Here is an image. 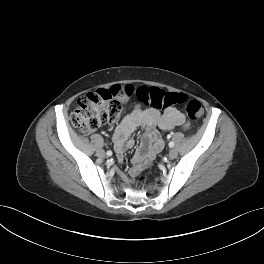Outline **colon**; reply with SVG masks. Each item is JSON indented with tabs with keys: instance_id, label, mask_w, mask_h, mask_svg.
<instances>
[{
	"instance_id": "obj_1",
	"label": "colon",
	"mask_w": 264,
	"mask_h": 264,
	"mask_svg": "<svg viewBox=\"0 0 264 264\" xmlns=\"http://www.w3.org/2000/svg\"><path fill=\"white\" fill-rule=\"evenodd\" d=\"M134 94L143 105L158 110L183 104L187 99L183 93L167 92L157 87L118 85L82 96L71 115V123L80 132L90 133L115 121L122 112L123 104ZM186 112L194 122H199L204 114L203 107L197 100L187 102ZM144 178V175H140L138 180L142 181Z\"/></svg>"
}]
</instances>
